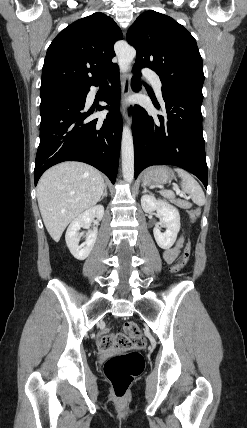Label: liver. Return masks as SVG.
<instances>
[{
  "label": "liver",
  "instance_id": "obj_1",
  "mask_svg": "<svg viewBox=\"0 0 247 428\" xmlns=\"http://www.w3.org/2000/svg\"><path fill=\"white\" fill-rule=\"evenodd\" d=\"M104 185L101 173L81 162L58 164L41 176L37 185L38 205L55 242L71 221L97 204Z\"/></svg>",
  "mask_w": 247,
  "mask_h": 428
}]
</instances>
